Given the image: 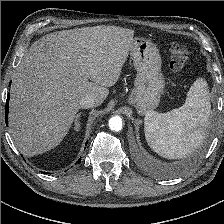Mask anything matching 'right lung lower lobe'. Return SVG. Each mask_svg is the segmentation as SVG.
Wrapping results in <instances>:
<instances>
[{"label":"right lung lower lobe","instance_id":"1","mask_svg":"<svg viewBox=\"0 0 224 224\" xmlns=\"http://www.w3.org/2000/svg\"><path fill=\"white\" fill-rule=\"evenodd\" d=\"M8 109H9V95H7V101H6V107H5V120H6V125L8 124ZM81 162V158L78 159L76 162V165Z\"/></svg>","mask_w":224,"mask_h":224}]
</instances>
